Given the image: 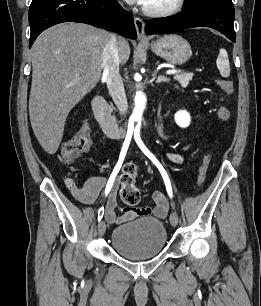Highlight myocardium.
I'll use <instances>...</instances> for the list:
<instances>
[{"mask_svg":"<svg viewBox=\"0 0 261 306\" xmlns=\"http://www.w3.org/2000/svg\"><path fill=\"white\" fill-rule=\"evenodd\" d=\"M185 1L186 0H174V2L169 7L160 8V9H153L144 6L143 11L146 15L152 17H168L180 12L185 5Z\"/></svg>","mask_w":261,"mask_h":306,"instance_id":"1","label":"myocardium"}]
</instances>
